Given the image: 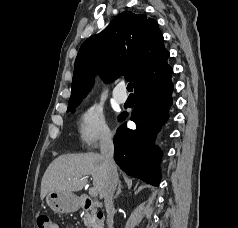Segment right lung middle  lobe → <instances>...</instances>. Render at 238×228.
<instances>
[{"instance_id":"right-lung-middle-lobe-1","label":"right lung middle lobe","mask_w":238,"mask_h":228,"mask_svg":"<svg viewBox=\"0 0 238 228\" xmlns=\"http://www.w3.org/2000/svg\"><path fill=\"white\" fill-rule=\"evenodd\" d=\"M78 105H79L78 103H69V104H68V109H67V111H72V112H74V109H75Z\"/></svg>"}]
</instances>
